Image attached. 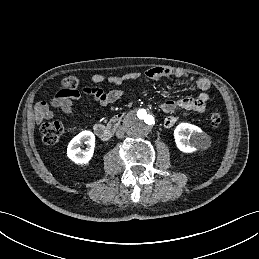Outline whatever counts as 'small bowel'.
I'll use <instances>...</instances> for the list:
<instances>
[{"label": "small bowel", "mask_w": 259, "mask_h": 259, "mask_svg": "<svg viewBox=\"0 0 259 259\" xmlns=\"http://www.w3.org/2000/svg\"><path fill=\"white\" fill-rule=\"evenodd\" d=\"M143 76L151 80H160L169 77L187 78L194 81L197 88L201 91L197 97H184L178 100H167L161 104V110L168 114L164 119V126L166 128H171L177 121V117L174 115V111L177 108L196 113L205 112L207 102L210 99L207 91L211 86L210 81L206 77L196 76L182 69L154 67L148 69L144 74L139 72H129L123 75L95 74L91 76L89 80L91 85L75 90L68 95H64L61 91H58L52 96L49 103L44 101L38 102L35 106V120L37 123H41L44 120L51 119L54 117L56 111H60L66 116H73V106L75 101L84 96H91L100 105L108 106L119 100L123 95V92L119 89L105 92L98 86V84L108 82L119 86L128 81L138 80Z\"/></svg>", "instance_id": "c3829d8e"}]
</instances>
